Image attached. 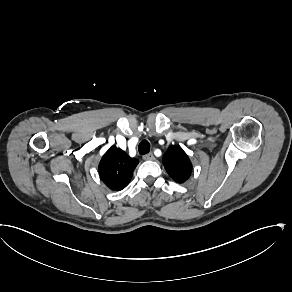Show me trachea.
Instances as JSON below:
<instances>
[{
	"instance_id": "3493384b",
	"label": "trachea",
	"mask_w": 292,
	"mask_h": 292,
	"mask_svg": "<svg viewBox=\"0 0 292 292\" xmlns=\"http://www.w3.org/2000/svg\"><path fill=\"white\" fill-rule=\"evenodd\" d=\"M141 155L147 154L150 151V143L147 140H142L138 146Z\"/></svg>"
}]
</instances>
